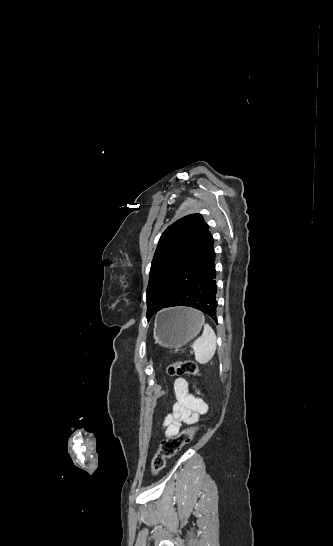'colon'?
Masks as SVG:
<instances>
[{"mask_svg":"<svg viewBox=\"0 0 333 546\" xmlns=\"http://www.w3.org/2000/svg\"><path fill=\"white\" fill-rule=\"evenodd\" d=\"M169 376H192L199 375V369L192 360H180L170 363L167 366ZM199 427L187 428L178 434L165 438L154 455L151 462V471L153 474L160 472L166 464V460L173 457L183 446L188 444L195 436Z\"/></svg>","mask_w":333,"mask_h":546,"instance_id":"5ec220e1","label":"colon"}]
</instances>
